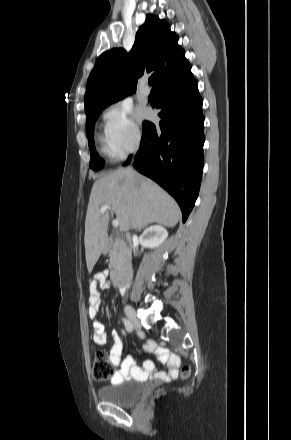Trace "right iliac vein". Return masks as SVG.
Segmentation results:
<instances>
[{
    "instance_id": "right-iliac-vein-1",
    "label": "right iliac vein",
    "mask_w": 291,
    "mask_h": 440,
    "mask_svg": "<svg viewBox=\"0 0 291 440\" xmlns=\"http://www.w3.org/2000/svg\"><path fill=\"white\" fill-rule=\"evenodd\" d=\"M125 313H126V316L129 319V321L134 325V327L138 328L139 327V321L137 319L135 310L130 305H126Z\"/></svg>"
}]
</instances>
